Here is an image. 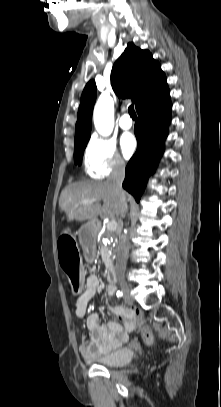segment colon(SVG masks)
Here are the masks:
<instances>
[{"mask_svg": "<svg viewBox=\"0 0 221 407\" xmlns=\"http://www.w3.org/2000/svg\"><path fill=\"white\" fill-rule=\"evenodd\" d=\"M76 233L74 230H67L65 236L59 240V261L60 265L67 274L71 285L77 291L81 285V272L79 255L77 252L74 238ZM141 336L147 345L154 344V336L149 327L141 329Z\"/></svg>", "mask_w": 221, "mask_h": 407, "instance_id": "colon-1", "label": "colon"}]
</instances>
